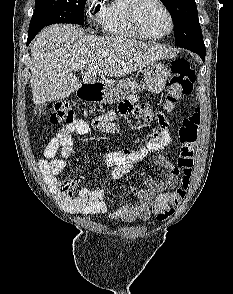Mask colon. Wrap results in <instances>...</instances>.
<instances>
[{"instance_id":"obj_1","label":"colon","mask_w":233,"mask_h":294,"mask_svg":"<svg viewBox=\"0 0 233 294\" xmlns=\"http://www.w3.org/2000/svg\"><path fill=\"white\" fill-rule=\"evenodd\" d=\"M195 72L186 58H178L172 64V75L169 81L165 110L171 111L181 100L192 92L195 83ZM75 121V114L66 102L56 104L50 122L54 125H69ZM201 124L200 109L196 107L183 121L178 132L180 156L178 166L181 171L179 186L170 193L159 194L153 204V212L159 221L168 219L174 212V206L185 198L194 165L195 148ZM74 179L64 180L60 184L61 191L72 196L75 190Z\"/></svg>"}]
</instances>
